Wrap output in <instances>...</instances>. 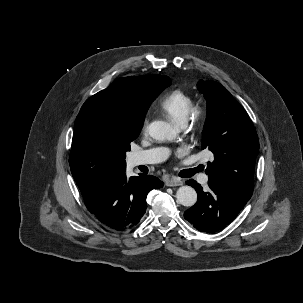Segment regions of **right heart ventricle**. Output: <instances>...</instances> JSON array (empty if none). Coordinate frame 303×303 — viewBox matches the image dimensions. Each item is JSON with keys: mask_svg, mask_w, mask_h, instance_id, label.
<instances>
[{"mask_svg": "<svg viewBox=\"0 0 303 303\" xmlns=\"http://www.w3.org/2000/svg\"><path fill=\"white\" fill-rule=\"evenodd\" d=\"M193 105L194 99L189 93L181 89H173L160 100L159 110L178 125H183Z\"/></svg>", "mask_w": 303, "mask_h": 303, "instance_id": "e07e8e85", "label": "right heart ventricle"}]
</instances>
